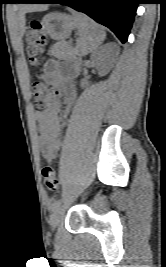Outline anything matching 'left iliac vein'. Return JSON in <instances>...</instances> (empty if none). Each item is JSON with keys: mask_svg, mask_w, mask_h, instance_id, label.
Returning a JSON list of instances; mask_svg holds the SVG:
<instances>
[{"mask_svg": "<svg viewBox=\"0 0 166 267\" xmlns=\"http://www.w3.org/2000/svg\"><path fill=\"white\" fill-rule=\"evenodd\" d=\"M66 208H58L52 215V226L55 228L59 223L60 221L62 220L63 216H64V213L66 211Z\"/></svg>", "mask_w": 166, "mask_h": 267, "instance_id": "1", "label": "left iliac vein"}]
</instances>
